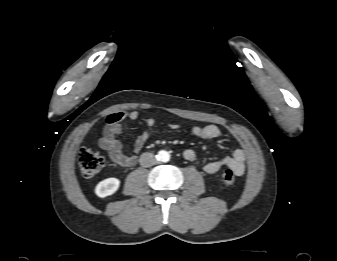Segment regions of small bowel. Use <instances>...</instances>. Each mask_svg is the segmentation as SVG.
<instances>
[{"label": "small bowel", "instance_id": "obj_1", "mask_svg": "<svg viewBox=\"0 0 337 261\" xmlns=\"http://www.w3.org/2000/svg\"><path fill=\"white\" fill-rule=\"evenodd\" d=\"M139 117L135 110L120 111L108 115L106 124L103 130V135L100 139V147L107 151L109 157L115 163L123 167H131L136 163V153H138L145 143L150 138L149 131H143L133 141L132 152L127 153L123 149L122 139L125 138V133L122 127L124 120L134 121ZM149 128L155 126L156 121L152 117L145 120ZM170 130H177L179 125L171 123L168 125ZM192 134L204 140H213L220 136L221 132L215 125L194 126ZM187 161L193 162L197 158V154L193 149H186L183 153ZM230 168L237 176H241L245 171V153L242 149H236L230 156H224L216 160H212L205 164L203 170L209 175L217 173L221 167Z\"/></svg>", "mask_w": 337, "mask_h": 261}]
</instances>
